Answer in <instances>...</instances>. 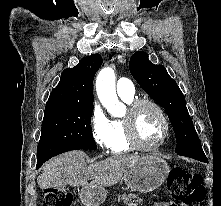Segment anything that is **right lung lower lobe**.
I'll list each match as a JSON object with an SVG mask.
<instances>
[{
  "label": "right lung lower lobe",
  "instance_id": "obj_1",
  "mask_svg": "<svg viewBox=\"0 0 221 206\" xmlns=\"http://www.w3.org/2000/svg\"><path fill=\"white\" fill-rule=\"evenodd\" d=\"M45 161L41 160V161H37V168H39Z\"/></svg>",
  "mask_w": 221,
  "mask_h": 206
}]
</instances>
